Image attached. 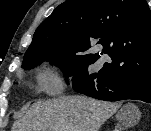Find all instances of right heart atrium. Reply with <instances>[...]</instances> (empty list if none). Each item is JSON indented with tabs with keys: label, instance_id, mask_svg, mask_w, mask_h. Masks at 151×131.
Wrapping results in <instances>:
<instances>
[{
	"label": "right heart atrium",
	"instance_id": "1",
	"mask_svg": "<svg viewBox=\"0 0 151 131\" xmlns=\"http://www.w3.org/2000/svg\"><path fill=\"white\" fill-rule=\"evenodd\" d=\"M38 82L44 91L51 94L60 92L64 84L59 69L54 64H48L41 70Z\"/></svg>",
	"mask_w": 151,
	"mask_h": 131
}]
</instances>
